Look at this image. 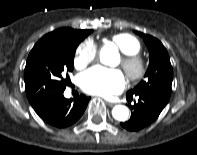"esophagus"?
Returning <instances> with one entry per match:
<instances>
[{"label":"esophagus","mask_w":197,"mask_h":155,"mask_svg":"<svg viewBox=\"0 0 197 155\" xmlns=\"http://www.w3.org/2000/svg\"><path fill=\"white\" fill-rule=\"evenodd\" d=\"M106 103H107V105H109V106H113V105H115V103L110 102V101H106Z\"/></svg>","instance_id":"esophagus-1"}]
</instances>
